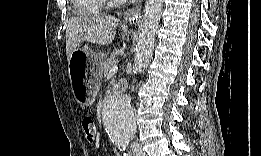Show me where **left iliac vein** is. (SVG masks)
Wrapping results in <instances>:
<instances>
[{
	"mask_svg": "<svg viewBox=\"0 0 261 156\" xmlns=\"http://www.w3.org/2000/svg\"><path fill=\"white\" fill-rule=\"evenodd\" d=\"M131 149H132V153L133 155H136V156H144V152L142 151L140 145L136 142H134L132 145H131Z\"/></svg>",
	"mask_w": 261,
	"mask_h": 156,
	"instance_id": "left-iliac-vein-1",
	"label": "left iliac vein"
}]
</instances>
